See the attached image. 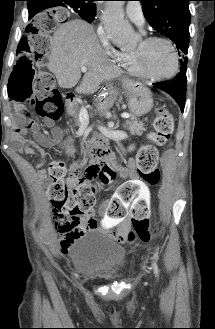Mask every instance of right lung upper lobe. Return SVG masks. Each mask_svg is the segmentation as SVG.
<instances>
[{"label":"right lung upper lobe","mask_w":215,"mask_h":329,"mask_svg":"<svg viewBox=\"0 0 215 329\" xmlns=\"http://www.w3.org/2000/svg\"><path fill=\"white\" fill-rule=\"evenodd\" d=\"M37 1H40L43 10L51 7H64L66 5L65 1H78L86 4L89 7L94 8L96 11V5L94 3L96 0H37Z\"/></svg>","instance_id":"1"}]
</instances>
